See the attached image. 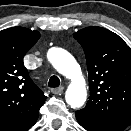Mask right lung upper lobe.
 <instances>
[{"label":"right lung upper lobe","instance_id":"obj_1","mask_svg":"<svg viewBox=\"0 0 131 131\" xmlns=\"http://www.w3.org/2000/svg\"><path fill=\"white\" fill-rule=\"evenodd\" d=\"M39 38L38 31L24 27L0 31V131L26 130L46 99L23 63Z\"/></svg>","mask_w":131,"mask_h":131}]
</instances>
